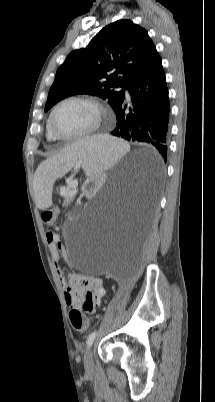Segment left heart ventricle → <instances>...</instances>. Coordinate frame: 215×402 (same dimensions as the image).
I'll return each instance as SVG.
<instances>
[{
    "mask_svg": "<svg viewBox=\"0 0 215 402\" xmlns=\"http://www.w3.org/2000/svg\"><path fill=\"white\" fill-rule=\"evenodd\" d=\"M95 120L93 106L83 102H68L56 111L54 126L63 135H76L92 127Z\"/></svg>",
    "mask_w": 215,
    "mask_h": 402,
    "instance_id": "obj_1",
    "label": "left heart ventricle"
}]
</instances>
